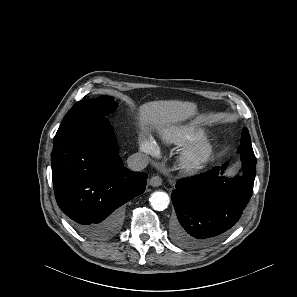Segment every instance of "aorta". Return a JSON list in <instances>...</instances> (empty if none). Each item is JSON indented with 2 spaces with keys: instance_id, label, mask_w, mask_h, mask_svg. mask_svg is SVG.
Masks as SVG:
<instances>
[{
  "instance_id": "1",
  "label": "aorta",
  "mask_w": 297,
  "mask_h": 297,
  "mask_svg": "<svg viewBox=\"0 0 297 297\" xmlns=\"http://www.w3.org/2000/svg\"><path fill=\"white\" fill-rule=\"evenodd\" d=\"M149 201L154 210L163 211L168 207L170 199L166 192L156 191L151 194Z\"/></svg>"
}]
</instances>
